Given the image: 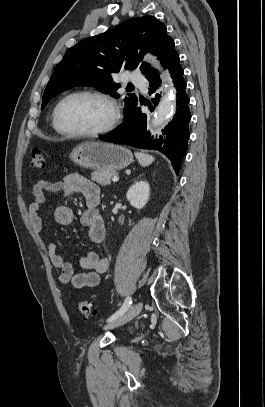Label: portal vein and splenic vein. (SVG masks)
I'll list each match as a JSON object with an SVG mask.
<instances>
[{
	"instance_id": "18ae733b",
	"label": "portal vein and splenic vein",
	"mask_w": 265,
	"mask_h": 407,
	"mask_svg": "<svg viewBox=\"0 0 265 407\" xmlns=\"http://www.w3.org/2000/svg\"><path fill=\"white\" fill-rule=\"evenodd\" d=\"M119 180V177L118 176H114L113 178H112V181L113 182H117Z\"/></svg>"
}]
</instances>
